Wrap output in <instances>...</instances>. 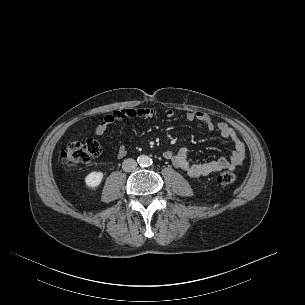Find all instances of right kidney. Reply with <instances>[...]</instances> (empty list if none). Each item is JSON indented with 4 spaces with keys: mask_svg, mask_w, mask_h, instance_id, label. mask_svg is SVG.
<instances>
[{
    "mask_svg": "<svg viewBox=\"0 0 305 305\" xmlns=\"http://www.w3.org/2000/svg\"><path fill=\"white\" fill-rule=\"evenodd\" d=\"M102 179H103L102 172L93 171L85 177V184L87 187L91 189H95L100 185Z\"/></svg>",
    "mask_w": 305,
    "mask_h": 305,
    "instance_id": "ca27d5eb",
    "label": "right kidney"
}]
</instances>
